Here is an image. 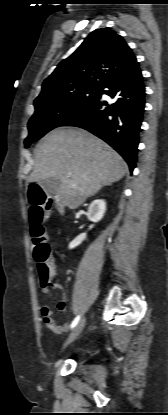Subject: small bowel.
I'll return each mask as SVG.
<instances>
[{
    "mask_svg": "<svg viewBox=\"0 0 168 415\" xmlns=\"http://www.w3.org/2000/svg\"><path fill=\"white\" fill-rule=\"evenodd\" d=\"M51 287L54 288V289H58V290L63 291L62 286L60 284H58V283H54L53 285H51ZM41 292L43 294H45V295L49 294V292H50V286H47V285L42 286ZM57 308H58V310L60 312L65 311V309H66V302H65L64 299H62L58 303ZM41 315L43 317V321H44L45 325L50 330H52V331H54L56 333H61V332H64L66 330L67 324H61V325H59V324H57L55 322V320L52 317V311H51V308H50L49 305L45 304V305L42 306V308H41Z\"/></svg>",
    "mask_w": 168,
    "mask_h": 415,
    "instance_id": "1",
    "label": "small bowel"
}]
</instances>
